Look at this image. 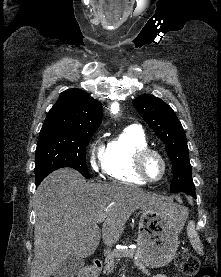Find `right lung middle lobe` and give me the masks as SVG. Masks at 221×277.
<instances>
[{
	"label": "right lung middle lobe",
	"mask_w": 221,
	"mask_h": 277,
	"mask_svg": "<svg viewBox=\"0 0 221 277\" xmlns=\"http://www.w3.org/2000/svg\"><path fill=\"white\" fill-rule=\"evenodd\" d=\"M95 131H41L36 149V181H42L49 173L63 167L74 168L90 178L85 149Z\"/></svg>",
	"instance_id": "dd1d6c3e"
}]
</instances>
